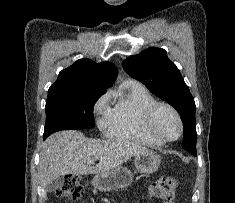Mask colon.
<instances>
[{
	"mask_svg": "<svg viewBox=\"0 0 235 203\" xmlns=\"http://www.w3.org/2000/svg\"><path fill=\"white\" fill-rule=\"evenodd\" d=\"M178 185L179 180L174 177H160L150 186L149 193L152 197L168 203L175 198ZM56 194L77 201L82 199L84 189L77 176L65 175L61 185L56 189Z\"/></svg>",
	"mask_w": 235,
	"mask_h": 203,
	"instance_id": "5ec220e1",
	"label": "colon"
}]
</instances>
